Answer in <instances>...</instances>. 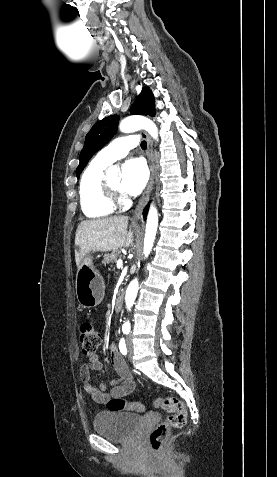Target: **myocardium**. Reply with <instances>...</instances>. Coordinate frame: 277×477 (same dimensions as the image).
<instances>
[{"label": "myocardium", "mask_w": 277, "mask_h": 477, "mask_svg": "<svg viewBox=\"0 0 277 477\" xmlns=\"http://www.w3.org/2000/svg\"><path fill=\"white\" fill-rule=\"evenodd\" d=\"M101 193L106 201L114 206L120 202V192L110 184L106 174H104L101 181Z\"/></svg>", "instance_id": "myocardium-1"}]
</instances>
